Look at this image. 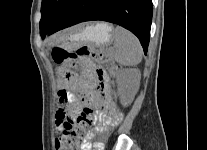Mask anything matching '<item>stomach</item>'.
Returning a JSON list of instances; mask_svg holds the SVG:
<instances>
[{"label":"stomach","mask_w":207,"mask_h":150,"mask_svg":"<svg viewBox=\"0 0 207 150\" xmlns=\"http://www.w3.org/2000/svg\"><path fill=\"white\" fill-rule=\"evenodd\" d=\"M113 26L106 22H93L80 28L63 32L53 38V45L72 50L82 44H93L97 47L107 45L112 40Z\"/></svg>","instance_id":"stomach-1"}]
</instances>
